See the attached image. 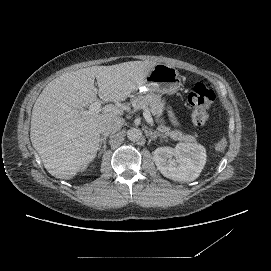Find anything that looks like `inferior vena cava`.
I'll list each match as a JSON object with an SVG mask.
<instances>
[{
	"label": "inferior vena cava",
	"mask_w": 271,
	"mask_h": 271,
	"mask_svg": "<svg viewBox=\"0 0 271 271\" xmlns=\"http://www.w3.org/2000/svg\"><path fill=\"white\" fill-rule=\"evenodd\" d=\"M121 125L120 121L107 122L100 126V134L109 135L110 133L120 129Z\"/></svg>",
	"instance_id": "602c4592"
}]
</instances>
